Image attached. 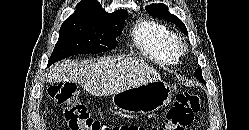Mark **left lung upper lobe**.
Masks as SVG:
<instances>
[{"instance_id": "5c2ea615", "label": "left lung upper lobe", "mask_w": 249, "mask_h": 130, "mask_svg": "<svg viewBox=\"0 0 249 130\" xmlns=\"http://www.w3.org/2000/svg\"><path fill=\"white\" fill-rule=\"evenodd\" d=\"M146 10H148L152 15H154L155 17H159V18H163L169 22H174L182 31L185 32V34L188 35L186 26L184 25V23L175 15L170 14L168 12V7H166V5L164 4H151L150 6L146 7ZM195 77L202 83L205 84V81L202 77L201 74V68L198 67L195 71Z\"/></svg>"}]
</instances>
